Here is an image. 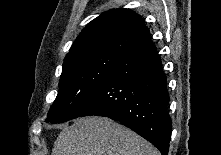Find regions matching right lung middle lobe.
Instances as JSON below:
<instances>
[{
  "label": "right lung middle lobe",
  "instance_id": "right-lung-middle-lobe-1",
  "mask_svg": "<svg viewBox=\"0 0 221 155\" xmlns=\"http://www.w3.org/2000/svg\"><path fill=\"white\" fill-rule=\"evenodd\" d=\"M123 55L103 53L75 60L62 70L59 93L46 122L61 123L77 118Z\"/></svg>",
  "mask_w": 221,
  "mask_h": 155
}]
</instances>
